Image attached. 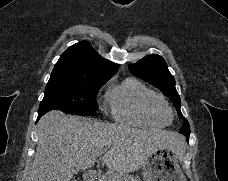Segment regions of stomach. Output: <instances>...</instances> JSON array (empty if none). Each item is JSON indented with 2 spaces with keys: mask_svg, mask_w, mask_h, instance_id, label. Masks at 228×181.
<instances>
[{
  "mask_svg": "<svg viewBox=\"0 0 228 181\" xmlns=\"http://www.w3.org/2000/svg\"><path fill=\"white\" fill-rule=\"evenodd\" d=\"M141 169L143 181H186L173 149H155Z\"/></svg>",
  "mask_w": 228,
  "mask_h": 181,
  "instance_id": "0dacf381",
  "label": "stomach"
}]
</instances>
